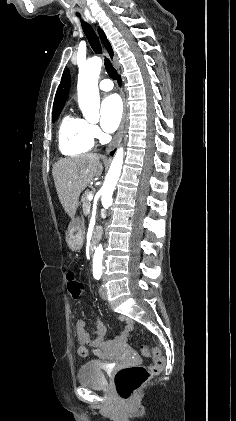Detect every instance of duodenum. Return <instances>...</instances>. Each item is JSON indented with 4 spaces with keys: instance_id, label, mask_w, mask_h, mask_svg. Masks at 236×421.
<instances>
[{
    "instance_id": "410a0bca",
    "label": "duodenum",
    "mask_w": 236,
    "mask_h": 421,
    "mask_svg": "<svg viewBox=\"0 0 236 421\" xmlns=\"http://www.w3.org/2000/svg\"><path fill=\"white\" fill-rule=\"evenodd\" d=\"M100 235H101V231L99 229H96L93 232L92 238H91V248H93L97 244L100 238ZM131 328H132V325L128 324L127 329L129 330ZM104 334L105 333L103 332V330L99 328L97 331V335H98L97 338L93 341H90L89 335L84 331V329L82 328L79 330V338L81 342L83 344H90L94 347H98L97 349L94 350V353L101 358L108 357L109 355L108 344L104 341ZM126 336H127V332L123 333L122 339H125Z\"/></svg>"
}]
</instances>
